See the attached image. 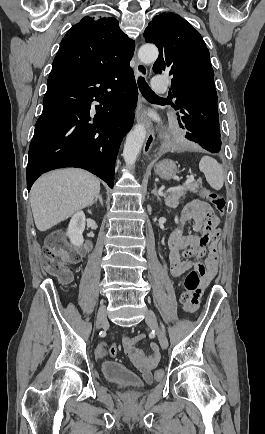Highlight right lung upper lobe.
I'll return each instance as SVG.
<instances>
[{"instance_id": "1", "label": "right lung upper lobe", "mask_w": 265, "mask_h": 434, "mask_svg": "<svg viewBox=\"0 0 265 434\" xmlns=\"http://www.w3.org/2000/svg\"><path fill=\"white\" fill-rule=\"evenodd\" d=\"M134 41L119 28L113 17H84L62 39L52 70L99 72L129 62Z\"/></svg>"}]
</instances>
